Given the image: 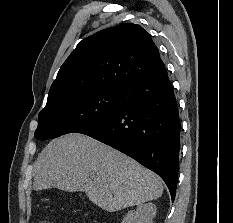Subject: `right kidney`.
<instances>
[{
	"instance_id": "ca27d5eb",
	"label": "right kidney",
	"mask_w": 233,
	"mask_h": 223,
	"mask_svg": "<svg viewBox=\"0 0 233 223\" xmlns=\"http://www.w3.org/2000/svg\"><path fill=\"white\" fill-rule=\"evenodd\" d=\"M156 215L155 203H141L137 205L136 211L131 209L127 215L123 217L121 223H153V217Z\"/></svg>"
}]
</instances>
